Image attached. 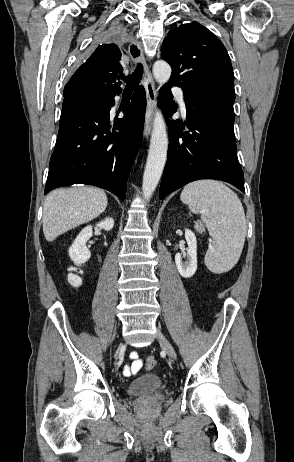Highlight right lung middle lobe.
Wrapping results in <instances>:
<instances>
[{"label":"right lung middle lobe","instance_id":"1","mask_svg":"<svg viewBox=\"0 0 294 462\" xmlns=\"http://www.w3.org/2000/svg\"><path fill=\"white\" fill-rule=\"evenodd\" d=\"M122 37V31L117 28L107 29L105 32L101 33L97 39L98 43H108L110 41H117ZM104 97H99L95 95H78L65 99L62 106V113L78 108H87L92 105L99 103L103 100Z\"/></svg>","mask_w":294,"mask_h":462}]
</instances>
